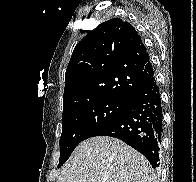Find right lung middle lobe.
I'll return each mask as SVG.
<instances>
[{
	"instance_id": "dd1d6c3e",
	"label": "right lung middle lobe",
	"mask_w": 196,
	"mask_h": 182,
	"mask_svg": "<svg viewBox=\"0 0 196 182\" xmlns=\"http://www.w3.org/2000/svg\"><path fill=\"white\" fill-rule=\"evenodd\" d=\"M128 103L127 100L101 97L64 111L58 168L80 142L90 138L101 126L124 111Z\"/></svg>"
}]
</instances>
